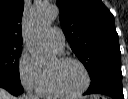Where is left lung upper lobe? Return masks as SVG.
<instances>
[{"mask_svg":"<svg viewBox=\"0 0 128 99\" xmlns=\"http://www.w3.org/2000/svg\"><path fill=\"white\" fill-rule=\"evenodd\" d=\"M57 5L66 39L90 76L103 65L121 66L114 16L101 0H57Z\"/></svg>","mask_w":128,"mask_h":99,"instance_id":"5c2ea615","label":"left lung upper lobe"}]
</instances>
